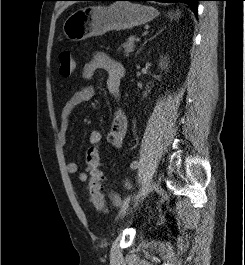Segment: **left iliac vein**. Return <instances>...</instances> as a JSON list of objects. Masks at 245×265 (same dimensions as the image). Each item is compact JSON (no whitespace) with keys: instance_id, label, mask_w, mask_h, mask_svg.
Here are the masks:
<instances>
[{"instance_id":"4c4485c4","label":"left iliac vein","mask_w":245,"mask_h":265,"mask_svg":"<svg viewBox=\"0 0 245 265\" xmlns=\"http://www.w3.org/2000/svg\"><path fill=\"white\" fill-rule=\"evenodd\" d=\"M154 188L155 184L152 181H148L146 184H144L137 196V200L134 203V207H136Z\"/></svg>"}]
</instances>
